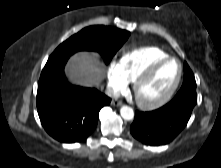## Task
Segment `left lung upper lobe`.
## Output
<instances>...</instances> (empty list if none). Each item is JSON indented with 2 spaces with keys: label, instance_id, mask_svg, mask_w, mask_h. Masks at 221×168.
<instances>
[{
  "label": "left lung upper lobe",
  "instance_id": "left-lung-upper-lobe-1",
  "mask_svg": "<svg viewBox=\"0 0 221 168\" xmlns=\"http://www.w3.org/2000/svg\"><path fill=\"white\" fill-rule=\"evenodd\" d=\"M195 85L196 86V81L193 75V72L191 71L190 67L188 64L185 62L184 63V80H183V85Z\"/></svg>",
  "mask_w": 221,
  "mask_h": 168
}]
</instances>
